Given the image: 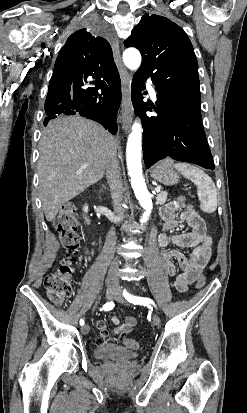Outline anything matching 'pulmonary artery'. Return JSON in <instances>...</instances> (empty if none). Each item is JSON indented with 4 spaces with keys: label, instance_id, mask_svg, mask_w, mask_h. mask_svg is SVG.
<instances>
[{
    "label": "pulmonary artery",
    "instance_id": "pulmonary-artery-1",
    "mask_svg": "<svg viewBox=\"0 0 247 413\" xmlns=\"http://www.w3.org/2000/svg\"><path fill=\"white\" fill-rule=\"evenodd\" d=\"M143 79V78H142ZM147 83V82H146ZM143 87V86H142ZM148 88H149V91H150V95H151V97L155 100L156 99V95H157V93H156V89H155V86L153 85V83L152 82H149V84H148Z\"/></svg>",
    "mask_w": 247,
    "mask_h": 413
}]
</instances>
